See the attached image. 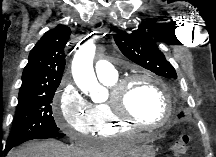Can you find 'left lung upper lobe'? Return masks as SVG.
Instances as JSON below:
<instances>
[{
    "label": "left lung upper lobe",
    "mask_w": 216,
    "mask_h": 157,
    "mask_svg": "<svg viewBox=\"0 0 216 157\" xmlns=\"http://www.w3.org/2000/svg\"><path fill=\"white\" fill-rule=\"evenodd\" d=\"M114 40L120 51L134 63L166 78H177L174 67L156 45L150 32L117 33Z\"/></svg>",
    "instance_id": "obj_1"
}]
</instances>
